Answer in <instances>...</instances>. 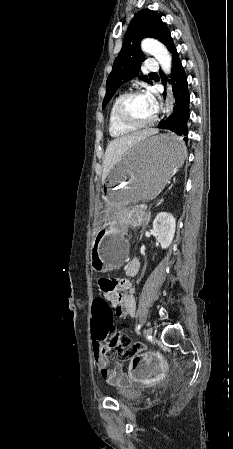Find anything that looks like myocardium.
<instances>
[{"label": "myocardium", "mask_w": 233, "mask_h": 449, "mask_svg": "<svg viewBox=\"0 0 233 449\" xmlns=\"http://www.w3.org/2000/svg\"><path fill=\"white\" fill-rule=\"evenodd\" d=\"M143 94H145V93L141 90H133L131 92L123 94L120 97V99L118 100V102L116 103L115 117H116V120L122 126L136 130V129L149 127L156 121V118H157L156 110H155L154 115L148 121H145V122H135L125 115L124 106H125L126 102L135 96L143 95Z\"/></svg>", "instance_id": "obj_1"}]
</instances>
